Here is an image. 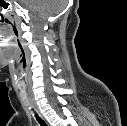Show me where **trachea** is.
<instances>
[{"instance_id": "trachea-1", "label": "trachea", "mask_w": 127, "mask_h": 126, "mask_svg": "<svg viewBox=\"0 0 127 126\" xmlns=\"http://www.w3.org/2000/svg\"><path fill=\"white\" fill-rule=\"evenodd\" d=\"M35 117L41 126H46V123L37 114H35Z\"/></svg>"}]
</instances>
